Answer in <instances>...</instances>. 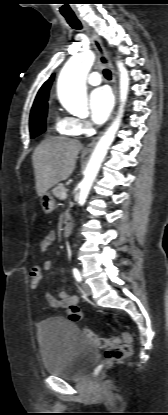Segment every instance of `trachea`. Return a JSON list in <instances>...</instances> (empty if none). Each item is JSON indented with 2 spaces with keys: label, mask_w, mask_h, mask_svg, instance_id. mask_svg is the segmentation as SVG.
Returning <instances> with one entry per match:
<instances>
[{
  "label": "trachea",
  "mask_w": 168,
  "mask_h": 415,
  "mask_svg": "<svg viewBox=\"0 0 168 415\" xmlns=\"http://www.w3.org/2000/svg\"><path fill=\"white\" fill-rule=\"evenodd\" d=\"M64 17L72 28L77 29V30L82 29L81 22L78 20V18L75 15H64ZM103 74L106 79L108 80L111 79V72L108 69H104Z\"/></svg>",
  "instance_id": "1"
}]
</instances>
